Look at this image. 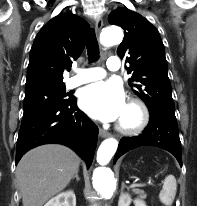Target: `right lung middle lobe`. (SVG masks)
<instances>
[{"label": "right lung middle lobe", "mask_w": 197, "mask_h": 206, "mask_svg": "<svg viewBox=\"0 0 197 206\" xmlns=\"http://www.w3.org/2000/svg\"><path fill=\"white\" fill-rule=\"evenodd\" d=\"M66 96L65 85L25 88L23 116L66 103L70 99H67Z\"/></svg>", "instance_id": "1"}]
</instances>
